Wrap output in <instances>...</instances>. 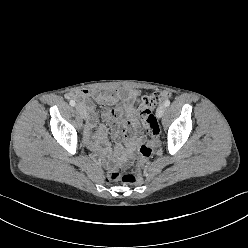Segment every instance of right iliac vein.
Segmentation results:
<instances>
[{
  "label": "right iliac vein",
  "mask_w": 248,
  "mask_h": 248,
  "mask_svg": "<svg viewBox=\"0 0 248 248\" xmlns=\"http://www.w3.org/2000/svg\"><path fill=\"white\" fill-rule=\"evenodd\" d=\"M76 110L79 112V114L82 116L83 119L87 118V111L83 104H77Z\"/></svg>",
  "instance_id": "1"
}]
</instances>
